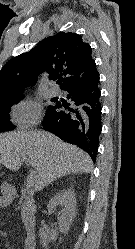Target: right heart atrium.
<instances>
[{"label":"right heart atrium","instance_id":"1","mask_svg":"<svg viewBox=\"0 0 135 249\" xmlns=\"http://www.w3.org/2000/svg\"><path fill=\"white\" fill-rule=\"evenodd\" d=\"M11 116L14 124L20 129H31L40 122L42 108L30 98L22 99L12 106Z\"/></svg>","mask_w":135,"mask_h":249}]
</instances>
